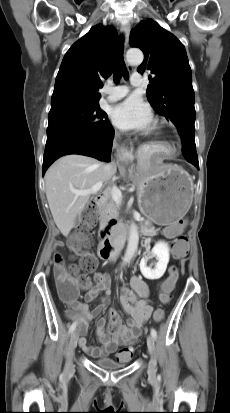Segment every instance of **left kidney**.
<instances>
[{
    "label": "left kidney",
    "instance_id": "obj_1",
    "mask_svg": "<svg viewBox=\"0 0 230 413\" xmlns=\"http://www.w3.org/2000/svg\"><path fill=\"white\" fill-rule=\"evenodd\" d=\"M151 257H156L158 262L155 264V268L151 269L147 266V261ZM169 262V247L168 244L159 241L153 247L151 254L145 256L140 262V271L142 275L150 280H156L163 276L166 271L167 264Z\"/></svg>",
    "mask_w": 230,
    "mask_h": 413
}]
</instances>
